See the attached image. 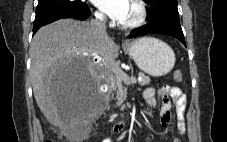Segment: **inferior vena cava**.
<instances>
[{"label": "inferior vena cava", "instance_id": "602c4592", "mask_svg": "<svg viewBox=\"0 0 227 142\" xmlns=\"http://www.w3.org/2000/svg\"><path fill=\"white\" fill-rule=\"evenodd\" d=\"M96 36H106L105 16L102 13H95V18L89 23Z\"/></svg>", "mask_w": 227, "mask_h": 142}]
</instances>
